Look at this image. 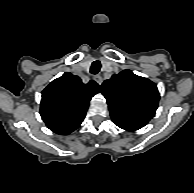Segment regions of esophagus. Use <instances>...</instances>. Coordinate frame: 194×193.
<instances>
[{
	"label": "esophagus",
	"mask_w": 194,
	"mask_h": 193,
	"mask_svg": "<svg viewBox=\"0 0 194 193\" xmlns=\"http://www.w3.org/2000/svg\"><path fill=\"white\" fill-rule=\"evenodd\" d=\"M94 80H95L99 85H101L102 82H103V79H102V77H101L100 75H96V76L94 77Z\"/></svg>",
	"instance_id": "1"
}]
</instances>
